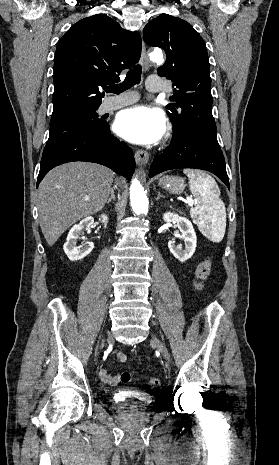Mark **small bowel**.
Here are the masks:
<instances>
[{
    "label": "small bowel",
    "instance_id": "1",
    "mask_svg": "<svg viewBox=\"0 0 279 465\" xmlns=\"http://www.w3.org/2000/svg\"><path fill=\"white\" fill-rule=\"evenodd\" d=\"M116 359L121 363H125L127 361V356L123 352L117 351ZM99 376L103 382L110 384V385L117 384L121 380V376L119 374H111L105 368L99 371Z\"/></svg>",
    "mask_w": 279,
    "mask_h": 465
}]
</instances>
